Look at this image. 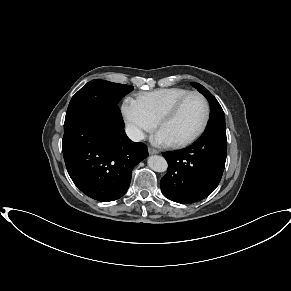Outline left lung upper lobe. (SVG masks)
Listing matches in <instances>:
<instances>
[{
    "label": "left lung upper lobe",
    "mask_w": 291,
    "mask_h": 291,
    "mask_svg": "<svg viewBox=\"0 0 291 291\" xmlns=\"http://www.w3.org/2000/svg\"><path fill=\"white\" fill-rule=\"evenodd\" d=\"M191 84L207 98L210 104V120L205 130L226 129L224 111L215 97L202 85L198 83Z\"/></svg>",
    "instance_id": "obj_1"
}]
</instances>
